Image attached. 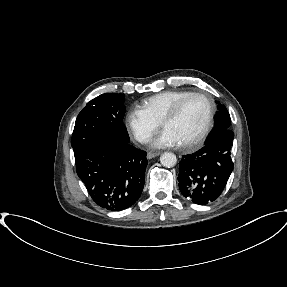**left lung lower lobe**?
I'll list each match as a JSON object with an SVG mask.
<instances>
[{
    "label": "left lung lower lobe",
    "mask_w": 287,
    "mask_h": 287,
    "mask_svg": "<svg viewBox=\"0 0 287 287\" xmlns=\"http://www.w3.org/2000/svg\"><path fill=\"white\" fill-rule=\"evenodd\" d=\"M233 137L231 130H225L208 139L197 152L182 156L179 189L193 203L208 204L221 195L233 170L230 157Z\"/></svg>",
    "instance_id": "obj_1"
}]
</instances>
